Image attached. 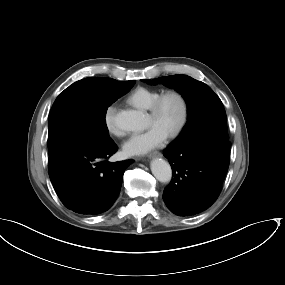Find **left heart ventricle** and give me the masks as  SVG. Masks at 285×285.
<instances>
[{"mask_svg":"<svg viewBox=\"0 0 285 285\" xmlns=\"http://www.w3.org/2000/svg\"><path fill=\"white\" fill-rule=\"evenodd\" d=\"M181 113L180 101L176 97L170 96L164 101L157 117L149 115V126L157 125L168 134L178 124Z\"/></svg>","mask_w":285,"mask_h":285,"instance_id":"b2bd125f","label":"left heart ventricle"}]
</instances>
